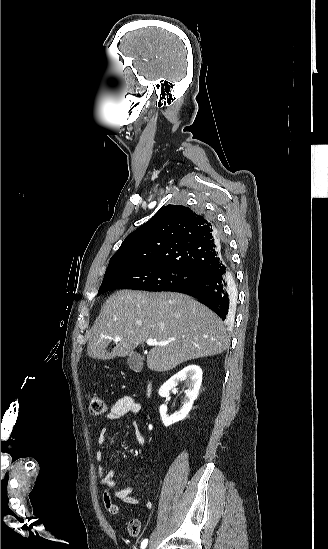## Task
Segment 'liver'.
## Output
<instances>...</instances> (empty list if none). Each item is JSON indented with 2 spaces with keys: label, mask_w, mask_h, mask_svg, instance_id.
I'll return each mask as SVG.
<instances>
[{
  "label": "liver",
  "mask_w": 328,
  "mask_h": 549,
  "mask_svg": "<svg viewBox=\"0 0 328 549\" xmlns=\"http://www.w3.org/2000/svg\"><path fill=\"white\" fill-rule=\"evenodd\" d=\"M115 337L122 341L107 353L105 349ZM147 339H175L166 347L153 345L147 355L148 369L159 373L185 361L219 355L230 343L218 315L188 295L117 291L105 301L88 333V357H129Z\"/></svg>",
  "instance_id": "6515ba94"
}]
</instances>
